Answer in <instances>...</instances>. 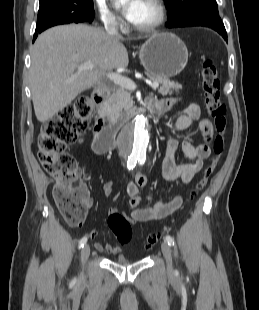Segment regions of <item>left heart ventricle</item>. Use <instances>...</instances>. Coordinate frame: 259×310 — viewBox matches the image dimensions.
<instances>
[{"label": "left heart ventricle", "instance_id": "b2bd125f", "mask_svg": "<svg viewBox=\"0 0 259 310\" xmlns=\"http://www.w3.org/2000/svg\"><path fill=\"white\" fill-rule=\"evenodd\" d=\"M158 16L156 7L149 0H141L132 24L147 26L152 24Z\"/></svg>", "mask_w": 259, "mask_h": 310}]
</instances>
